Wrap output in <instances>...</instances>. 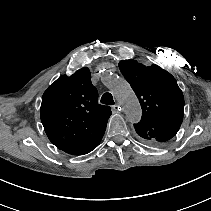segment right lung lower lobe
Listing matches in <instances>:
<instances>
[{
  "instance_id": "1",
  "label": "right lung lower lobe",
  "mask_w": 211,
  "mask_h": 211,
  "mask_svg": "<svg viewBox=\"0 0 211 211\" xmlns=\"http://www.w3.org/2000/svg\"><path fill=\"white\" fill-rule=\"evenodd\" d=\"M103 135L96 138V139H92V140H89V141H86V142L65 148V149H63V151L68 153V154H72V155L87 154L98 146V144L100 143Z\"/></svg>"
}]
</instances>
